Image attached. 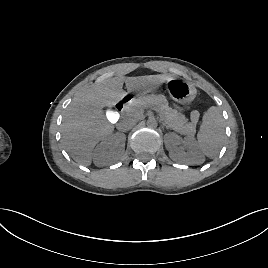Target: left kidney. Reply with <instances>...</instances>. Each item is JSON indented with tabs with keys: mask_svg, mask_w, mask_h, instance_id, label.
<instances>
[{
	"mask_svg": "<svg viewBox=\"0 0 268 268\" xmlns=\"http://www.w3.org/2000/svg\"><path fill=\"white\" fill-rule=\"evenodd\" d=\"M165 146L169 151V157L174 161L196 165L205 160L193 137L187 136L182 139L176 133L169 132L165 135Z\"/></svg>",
	"mask_w": 268,
	"mask_h": 268,
	"instance_id": "obj_1",
	"label": "left kidney"
}]
</instances>
